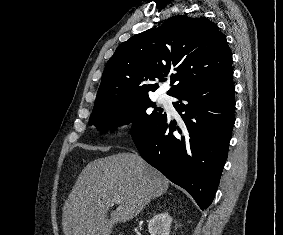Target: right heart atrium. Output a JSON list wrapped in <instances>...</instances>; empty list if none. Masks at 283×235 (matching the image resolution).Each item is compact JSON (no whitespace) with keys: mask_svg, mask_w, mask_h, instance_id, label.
<instances>
[{"mask_svg":"<svg viewBox=\"0 0 283 235\" xmlns=\"http://www.w3.org/2000/svg\"><path fill=\"white\" fill-rule=\"evenodd\" d=\"M129 122L127 119L125 118H120L119 120H117L116 122V129L117 131H123L125 130L126 128L129 127Z\"/></svg>","mask_w":283,"mask_h":235,"instance_id":"right-heart-atrium-1","label":"right heart atrium"}]
</instances>
